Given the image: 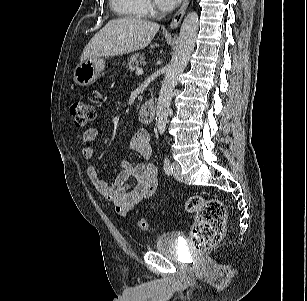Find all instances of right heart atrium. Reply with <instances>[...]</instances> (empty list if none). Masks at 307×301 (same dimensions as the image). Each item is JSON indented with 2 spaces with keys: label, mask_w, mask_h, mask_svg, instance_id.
Instances as JSON below:
<instances>
[{
  "label": "right heart atrium",
  "mask_w": 307,
  "mask_h": 301,
  "mask_svg": "<svg viewBox=\"0 0 307 301\" xmlns=\"http://www.w3.org/2000/svg\"><path fill=\"white\" fill-rule=\"evenodd\" d=\"M147 11H148V13H152L153 12V7H152V5L149 2H147Z\"/></svg>",
  "instance_id": "right-heart-atrium-1"
}]
</instances>
